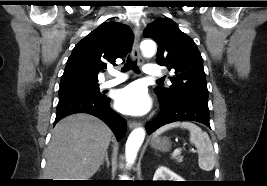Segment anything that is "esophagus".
Segmentation results:
<instances>
[{
  "mask_svg": "<svg viewBox=\"0 0 267 186\" xmlns=\"http://www.w3.org/2000/svg\"><path fill=\"white\" fill-rule=\"evenodd\" d=\"M140 35H141V28L139 25H136L134 28V43H133V48H132V57L134 59H138L139 62H141V55H140V49H139ZM128 126L130 129H134L136 127L141 126V122L130 121L128 123Z\"/></svg>",
  "mask_w": 267,
  "mask_h": 186,
  "instance_id": "1",
  "label": "esophagus"
}]
</instances>
